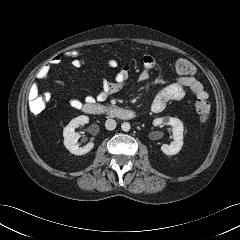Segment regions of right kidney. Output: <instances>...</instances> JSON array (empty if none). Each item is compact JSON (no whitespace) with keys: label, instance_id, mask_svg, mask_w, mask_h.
Here are the masks:
<instances>
[{"label":"right kidney","instance_id":"right-kidney-1","mask_svg":"<svg viewBox=\"0 0 240 240\" xmlns=\"http://www.w3.org/2000/svg\"><path fill=\"white\" fill-rule=\"evenodd\" d=\"M89 118L85 115L78 116L70 121V123L63 130L64 145L74 155H84L90 152L94 143L89 142L84 147H79L77 141L80 138V134L75 132V128L80 125L87 124Z\"/></svg>","mask_w":240,"mask_h":240}]
</instances>
